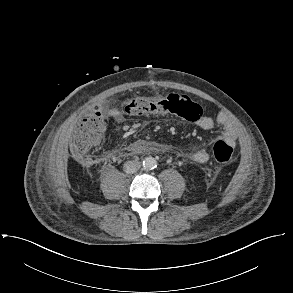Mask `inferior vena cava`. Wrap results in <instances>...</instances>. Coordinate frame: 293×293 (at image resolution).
<instances>
[{
    "mask_svg": "<svg viewBox=\"0 0 293 293\" xmlns=\"http://www.w3.org/2000/svg\"><path fill=\"white\" fill-rule=\"evenodd\" d=\"M141 167V163L138 161H127L124 163V171L128 174L137 172Z\"/></svg>",
    "mask_w": 293,
    "mask_h": 293,
    "instance_id": "1",
    "label": "inferior vena cava"
}]
</instances>
